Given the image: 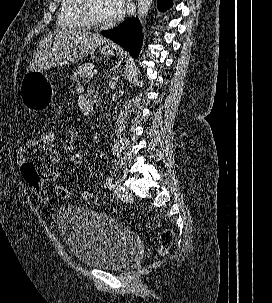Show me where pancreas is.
<instances>
[{"label":"pancreas","mask_w":272,"mask_h":303,"mask_svg":"<svg viewBox=\"0 0 272 303\" xmlns=\"http://www.w3.org/2000/svg\"><path fill=\"white\" fill-rule=\"evenodd\" d=\"M92 67L93 65L91 63H85L83 65H80L73 74V80L75 82H78L79 77L87 76L88 72L91 71Z\"/></svg>","instance_id":"1"}]
</instances>
